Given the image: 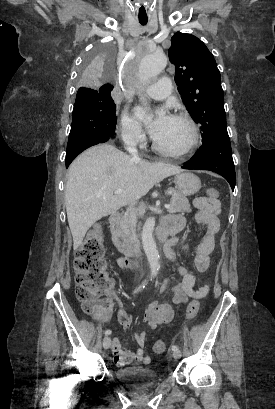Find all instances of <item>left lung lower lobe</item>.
<instances>
[{"label": "left lung lower lobe", "instance_id": "obj_1", "mask_svg": "<svg viewBox=\"0 0 275 409\" xmlns=\"http://www.w3.org/2000/svg\"><path fill=\"white\" fill-rule=\"evenodd\" d=\"M182 168L216 172L223 176L234 190L236 177L229 138L203 145Z\"/></svg>", "mask_w": 275, "mask_h": 409}]
</instances>
